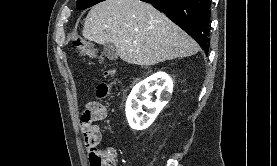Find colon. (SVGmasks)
<instances>
[{
  "label": "colon",
  "instance_id": "obj_1",
  "mask_svg": "<svg viewBox=\"0 0 277 166\" xmlns=\"http://www.w3.org/2000/svg\"><path fill=\"white\" fill-rule=\"evenodd\" d=\"M74 46L79 55L100 61L99 54L87 40L77 38L74 41ZM103 74L106 81L100 83L96 88V96L101 100L108 98L112 94L116 84V70L113 67L105 64ZM80 123L83 135L91 148V166H116L115 152L112 149H101L98 147L100 132L93 124L89 111L81 115Z\"/></svg>",
  "mask_w": 277,
  "mask_h": 166
}]
</instances>
